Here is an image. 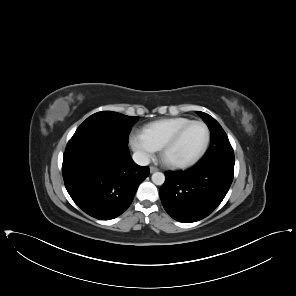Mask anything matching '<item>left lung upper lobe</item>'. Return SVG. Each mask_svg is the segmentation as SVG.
I'll return each instance as SVG.
<instances>
[{
	"mask_svg": "<svg viewBox=\"0 0 296 296\" xmlns=\"http://www.w3.org/2000/svg\"><path fill=\"white\" fill-rule=\"evenodd\" d=\"M197 113L204 119L211 133L210 147L199 163L210 164L218 159L234 158L232 146L220 124L206 113Z\"/></svg>",
	"mask_w": 296,
	"mask_h": 296,
	"instance_id": "obj_1",
	"label": "left lung upper lobe"
}]
</instances>
